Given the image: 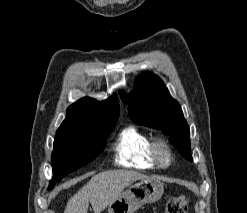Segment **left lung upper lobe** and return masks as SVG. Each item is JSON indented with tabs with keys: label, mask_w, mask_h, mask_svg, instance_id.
I'll return each mask as SVG.
<instances>
[{
	"label": "left lung upper lobe",
	"mask_w": 247,
	"mask_h": 213,
	"mask_svg": "<svg viewBox=\"0 0 247 213\" xmlns=\"http://www.w3.org/2000/svg\"><path fill=\"white\" fill-rule=\"evenodd\" d=\"M119 94L123 102L128 104L131 120L162 130L179 153L192 161L189 126L183 117L180 104L171 97L158 76L144 72L136 79V91L128 96L123 91Z\"/></svg>",
	"instance_id": "left-lung-upper-lobe-1"
}]
</instances>
